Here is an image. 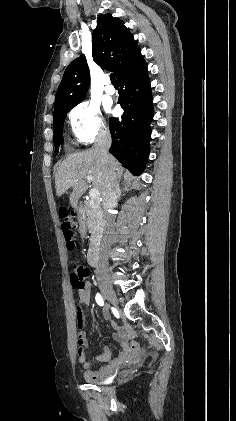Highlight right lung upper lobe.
Returning <instances> with one entry per match:
<instances>
[{"instance_id":"right-lung-upper-lobe-1","label":"right lung upper lobe","mask_w":236,"mask_h":421,"mask_svg":"<svg viewBox=\"0 0 236 421\" xmlns=\"http://www.w3.org/2000/svg\"><path fill=\"white\" fill-rule=\"evenodd\" d=\"M92 56L102 69L110 68L117 75L141 57V51L124 22L111 14H104L97 18V27L92 34ZM89 83V69L82 54L66 68L58 87L54 110L81 102Z\"/></svg>"}]
</instances>
